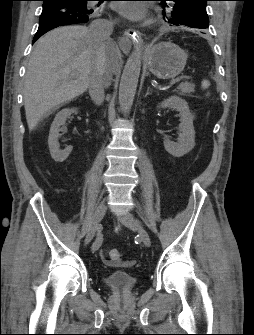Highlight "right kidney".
I'll list each match as a JSON object with an SVG mask.
<instances>
[{"label": "right kidney", "instance_id": "obj_1", "mask_svg": "<svg viewBox=\"0 0 254 335\" xmlns=\"http://www.w3.org/2000/svg\"><path fill=\"white\" fill-rule=\"evenodd\" d=\"M72 113H77V109L66 108L58 112L50 128L48 145L50 154L56 162H63L64 160H66L73 149L72 146H67L64 150H61L58 144L61 126L65 124L67 118H69Z\"/></svg>", "mask_w": 254, "mask_h": 335}]
</instances>
